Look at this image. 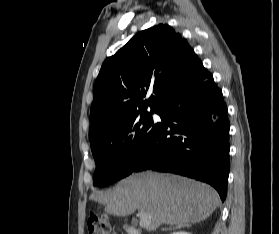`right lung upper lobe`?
I'll return each mask as SVG.
<instances>
[{"instance_id": "obj_1", "label": "right lung upper lobe", "mask_w": 279, "mask_h": 234, "mask_svg": "<svg viewBox=\"0 0 279 234\" xmlns=\"http://www.w3.org/2000/svg\"><path fill=\"white\" fill-rule=\"evenodd\" d=\"M200 63L188 42L169 25L137 33L101 67L90 110V144L148 106L159 108ZM149 88L153 95L144 100Z\"/></svg>"}]
</instances>
